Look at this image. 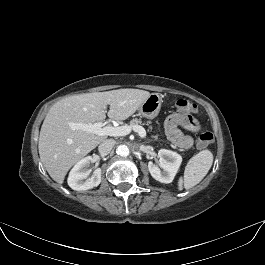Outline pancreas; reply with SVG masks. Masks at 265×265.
I'll return each instance as SVG.
<instances>
[{"label": "pancreas", "instance_id": "pancreas-1", "mask_svg": "<svg viewBox=\"0 0 265 265\" xmlns=\"http://www.w3.org/2000/svg\"><path fill=\"white\" fill-rule=\"evenodd\" d=\"M142 121L140 119H133L130 121V126L139 125Z\"/></svg>", "mask_w": 265, "mask_h": 265}]
</instances>
